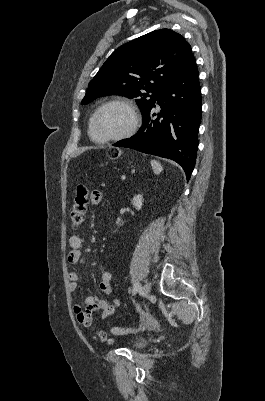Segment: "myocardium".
Instances as JSON below:
<instances>
[{
    "instance_id": "obj_1",
    "label": "myocardium",
    "mask_w": 265,
    "mask_h": 401,
    "mask_svg": "<svg viewBox=\"0 0 265 401\" xmlns=\"http://www.w3.org/2000/svg\"><path fill=\"white\" fill-rule=\"evenodd\" d=\"M111 105H122V106H125L131 113V121H130L129 125L127 126V128L123 132H121L119 135H116V136H113V137H110V138H107V139H103V140L97 139L94 136V133H93L94 123H95L97 117L99 116V114L106 107L111 106ZM139 122H140L139 110H138L137 106L131 100H128V99H113V100H110V101H107V102L103 103L94 112V114L92 115V117L90 118V121H89V135H90V138L96 143H107V142L118 141V140H121V139L131 135L137 129V127L139 125Z\"/></svg>"
}]
</instances>
